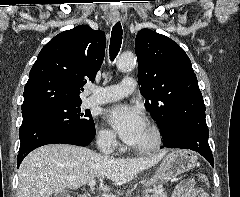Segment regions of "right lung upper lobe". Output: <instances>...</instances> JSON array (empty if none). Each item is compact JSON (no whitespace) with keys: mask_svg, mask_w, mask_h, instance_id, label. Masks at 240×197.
Here are the masks:
<instances>
[{"mask_svg":"<svg viewBox=\"0 0 240 197\" xmlns=\"http://www.w3.org/2000/svg\"><path fill=\"white\" fill-rule=\"evenodd\" d=\"M105 33L88 25L56 35L38 54L24 88L21 109L52 102H82L80 91L94 81L104 59Z\"/></svg>","mask_w":240,"mask_h":197,"instance_id":"right-lung-upper-lobe-1","label":"right lung upper lobe"}]
</instances>
